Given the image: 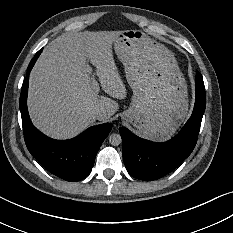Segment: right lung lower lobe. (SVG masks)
Instances as JSON below:
<instances>
[{
    "mask_svg": "<svg viewBox=\"0 0 233 233\" xmlns=\"http://www.w3.org/2000/svg\"><path fill=\"white\" fill-rule=\"evenodd\" d=\"M41 51L28 66L19 100L25 143L30 153L49 172L66 181H80L91 172L96 154L112 124L92 126L70 140L51 139L33 126L27 110L28 82L29 73Z\"/></svg>",
    "mask_w": 233,
    "mask_h": 233,
    "instance_id": "1",
    "label": "right lung lower lobe"
}]
</instances>
